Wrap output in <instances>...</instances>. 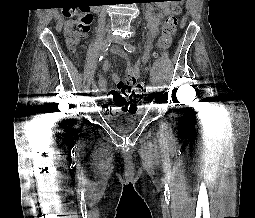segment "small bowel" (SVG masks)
Returning <instances> with one entry per match:
<instances>
[{"label": "small bowel", "mask_w": 255, "mask_h": 218, "mask_svg": "<svg viewBox=\"0 0 255 218\" xmlns=\"http://www.w3.org/2000/svg\"><path fill=\"white\" fill-rule=\"evenodd\" d=\"M173 12V5L168 4L165 0H161L158 3V10L153 5H148L146 8V20L148 26L147 44L150 45L154 37L157 35L160 27L161 20L164 16L170 15ZM113 54L127 59V56L119 49H113ZM158 54L153 53L156 57ZM150 54L147 52L144 56L138 59L136 62L129 64L127 67V78L121 80L118 75L113 72L112 78L117 85L114 90H108L107 82L105 78L98 74V89L100 92L108 91V96L103 97L105 104L102 105L106 114L117 113L121 109H129L128 103L130 95L124 90L125 86H131L138 82L141 77V69L145 67L149 61ZM103 69L107 71L109 69V62L105 60L103 62Z\"/></svg>", "instance_id": "c3829d8e"}]
</instances>
